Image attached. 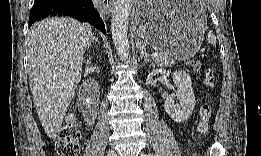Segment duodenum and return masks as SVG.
<instances>
[{"label": "duodenum", "mask_w": 261, "mask_h": 156, "mask_svg": "<svg viewBox=\"0 0 261 156\" xmlns=\"http://www.w3.org/2000/svg\"><path fill=\"white\" fill-rule=\"evenodd\" d=\"M79 106L85 117L90 120L94 119L98 106V94L93 83H87L79 92Z\"/></svg>", "instance_id": "1"}]
</instances>
